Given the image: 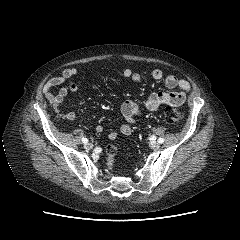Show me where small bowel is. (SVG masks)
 <instances>
[{"label":"small bowel","mask_w":240,"mask_h":240,"mask_svg":"<svg viewBox=\"0 0 240 240\" xmlns=\"http://www.w3.org/2000/svg\"><path fill=\"white\" fill-rule=\"evenodd\" d=\"M79 74V70L76 68H67L61 72L60 75L51 78L44 86L45 95L52 106L54 112L60 115V108L64 100L71 94L78 90L79 83L74 78ZM122 76L125 79L132 80L134 82H140L142 77L139 73L132 71L131 69H125L122 72ZM151 76L155 80H162L167 88H178V91L174 92H155L147 96L143 100H127L122 103L120 107V114L125 123L120 127V133L125 136L132 134V124H135L144 111H157L163 105L181 106L186 100V95L191 89V85L187 80L178 79L174 75L164 76L160 69L152 71ZM61 86L57 93H53L51 90L55 87ZM67 120L73 121L76 119L75 112H67L63 115ZM96 131L102 132V124L96 125ZM110 140H115L118 137V132L112 131L108 135Z\"/></svg>","instance_id":"c3829d8e"}]
</instances>
